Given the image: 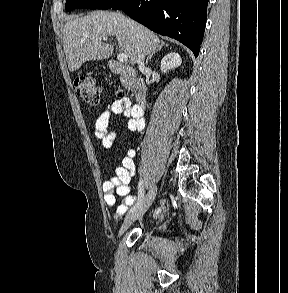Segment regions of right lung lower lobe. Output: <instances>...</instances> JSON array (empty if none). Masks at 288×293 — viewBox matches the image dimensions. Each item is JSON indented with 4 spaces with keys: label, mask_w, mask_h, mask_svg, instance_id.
Returning <instances> with one entry per match:
<instances>
[{
    "label": "right lung lower lobe",
    "mask_w": 288,
    "mask_h": 293,
    "mask_svg": "<svg viewBox=\"0 0 288 293\" xmlns=\"http://www.w3.org/2000/svg\"><path fill=\"white\" fill-rule=\"evenodd\" d=\"M208 0H121L111 7L161 35L186 45L198 56L202 43Z\"/></svg>",
    "instance_id": "1"
}]
</instances>
